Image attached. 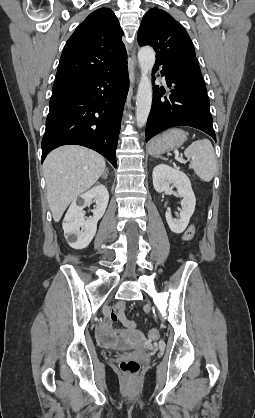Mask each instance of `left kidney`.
<instances>
[{"mask_svg":"<svg viewBox=\"0 0 255 418\" xmlns=\"http://www.w3.org/2000/svg\"><path fill=\"white\" fill-rule=\"evenodd\" d=\"M152 178L153 186L158 193H162L173 184L177 188L179 196L183 198L181 201L182 210L178 219L173 218L169 210L165 213L171 231L176 234L182 233L188 226L196 205L189 178L178 168H172L165 164H159L153 169Z\"/></svg>","mask_w":255,"mask_h":418,"instance_id":"1","label":"left kidney"}]
</instances>
